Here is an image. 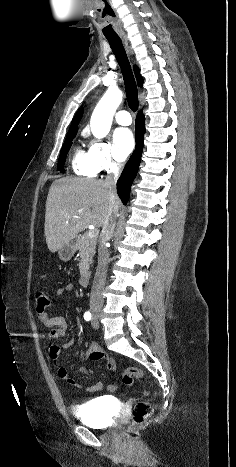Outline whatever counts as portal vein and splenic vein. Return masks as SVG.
Listing matches in <instances>:
<instances>
[{
  "label": "portal vein and splenic vein",
  "mask_w": 236,
  "mask_h": 467,
  "mask_svg": "<svg viewBox=\"0 0 236 467\" xmlns=\"http://www.w3.org/2000/svg\"><path fill=\"white\" fill-rule=\"evenodd\" d=\"M98 233H99V230H98V229L92 228V229L89 231L88 236H89L90 238H94V237L98 236Z\"/></svg>",
  "instance_id": "18ae733b"
}]
</instances>
